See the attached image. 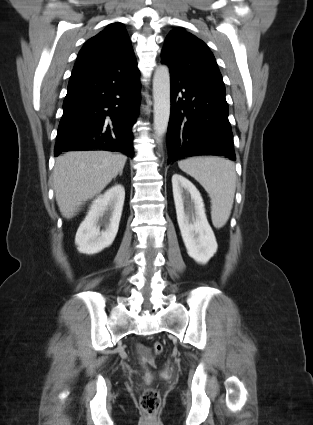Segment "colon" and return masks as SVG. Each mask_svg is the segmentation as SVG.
Returning <instances> with one entry per match:
<instances>
[{
    "label": "colon",
    "mask_w": 313,
    "mask_h": 425,
    "mask_svg": "<svg viewBox=\"0 0 313 425\" xmlns=\"http://www.w3.org/2000/svg\"><path fill=\"white\" fill-rule=\"evenodd\" d=\"M153 351L156 355H159L163 351V344L161 342H155L153 344ZM161 404V399L158 391L154 388L146 389L140 397V407L144 414L150 418L155 417Z\"/></svg>",
    "instance_id": "1"
}]
</instances>
